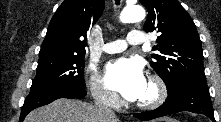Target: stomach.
Listing matches in <instances>:
<instances>
[{
	"label": "stomach",
	"mask_w": 221,
	"mask_h": 122,
	"mask_svg": "<svg viewBox=\"0 0 221 122\" xmlns=\"http://www.w3.org/2000/svg\"><path fill=\"white\" fill-rule=\"evenodd\" d=\"M155 122H177V121L171 118H161V119H157Z\"/></svg>",
	"instance_id": "1"
}]
</instances>
